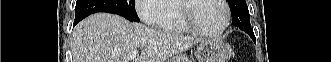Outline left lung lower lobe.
Returning a JSON list of instances; mask_svg holds the SVG:
<instances>
[{
	"label": "left lung lower lobe",
	"instance_id": "1",
	"mask_svg": "<svg viewBox=\"0 0 331 62\" xmlns=\"http://www.w3.org/2000/svg\"><path fill=\"white\" fill-rule=\"evenodd\" d=\"M241 30H243V29H241ZM247 33V32H246ZM249 34V36L255 41V36L253 35V34H250V33H248Z\"/></svg>",
	"mask_w": 331,
	"mask_h": 62
}]
</instances>
